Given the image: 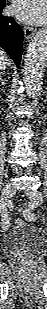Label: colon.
I'll return each instance as SVG.
<instances>
[{
  "label": "colon",
  "instance_id": "obj_1",
  "mask_svg": "<svg viewBox=\"0 0 47 309\" xmlns=\"http://www.w3.org/2000/svg\"><path fill=\"white\" fill-rule=\"evenodd\" d=\"M24 216L27 218V219H30L31 217H32V212L31 211H29V210H26L25 212H24ZM17 223L18 224H20L21 223V220H17Z\"/></svg>",
  "mask_w": 47,
  "mask_h": 309
}]
</instances>
